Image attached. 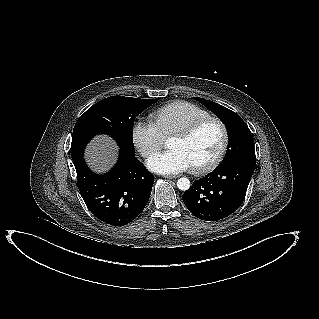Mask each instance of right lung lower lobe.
<instances>
[{"label": "right lung lower lobe", "instance_id": "1", "mask_svg": "<svg viewBox=\"0 0 319 319\" xmlns=\"http://www.w3.org/2000/svg\"><path fill=\"white\" fill-rule=\"evenodd\" d=\"M84 147L71 151L77 172V186L89 210L102 222L123 226L145 208L154 183L151 174L134 155L120 150L117 164L106 174L89 170Z\"/></svg>", "mask_w": 319, "mask_h": 319}]
</instances>
